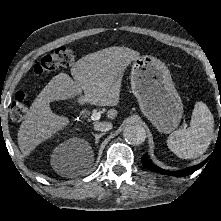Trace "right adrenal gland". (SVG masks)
<instances>
[{
  "label": "right adrenal gland",
  "mask_w": 221,
  "mask_h": 221,
  "mask_svg": "<svg viewBox=\"0 0 221 221\" xmlns=\"http://www.w3.org/2000/svg\"><path fill=\"white\" fill-rule=\"evenodd\" d=\"M91 133L95 137V144H98L100 137H102L105 134V133L95 134L94 132Z\"/></svg>",
  "instance_id": "right-adrenal-gland-1"
}]
</instances>
